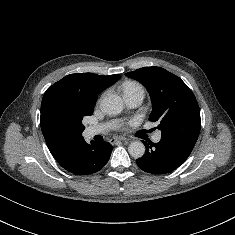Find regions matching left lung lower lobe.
<instances>
[{
    "label": "left lung lower lobe",
    "instance_id": "0a47b994",
    "mask_svg": "<svg viewBox=\"0 0 235 235\" xmlns=\"http://www.w3.org/2000/svg\"><path fill=\"white\" fill-rule=\"evenodd\" d=\"M143 143L146 152L136 160L137 165L145 172L164 174L178 168L188 158L196 142L162 137L158 143Z\"/></svg>",
    "mask_w": 235,
    "mask_h": 235
}]
</instances>
